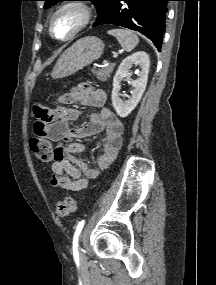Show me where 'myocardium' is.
Returning <instances> with one entry per match:
<instances>
[{"label": "myocardium", "mask_w": 216, "mask_h": 285, "mask_svg": "<svg viewBox=\"0 0 216 285\" xmlns=\"http://www.w3.org/2000/svg\"><path fill=\"white\" fill-rule=\"evenodd\" d=\"M65 10H76L80 14V22L75 29L66 37H57L53 32L55 18ZM92 9L84 2L70 1L60 5L51 15L48 23L49 34L52 38L60 42H68L76 38L91 22Z\"/></svg>", "instance_id": "1"}]
</instances>
